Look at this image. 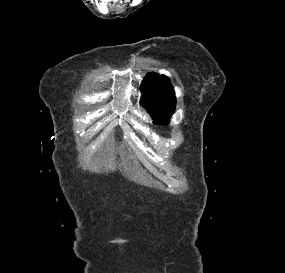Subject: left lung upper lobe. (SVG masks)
I'll use <instances>...</instances> for the list:
<instances>
[{"label": "left lung upper lobe", "mask_w": 285, "mask_h": 273, "mask_svg": "<svg viewBox=\"0 0 285 273\" xmlns=\"http://www.w3.org/2000/svg\"><path fill=\"white\" fill-rule=\"evenodd\" d=\"M143 105L156 124H168L175 111V93L170 79L165 75L149 74L141 84Z\"/></svg>", "instance_id": "1"}]
</instances>
